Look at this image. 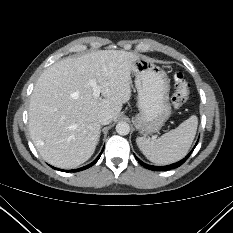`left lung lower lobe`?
Wrapping results in <instances>:
<instances>
[{
    "instance_id": "1",
    "label": "left lung lower lobe",
    "mask_w": 233,
    "mask_h": 233,
    "mask_svg": "<svg viewBox=\"0 0 233 233\" xmlns=\"http://www.w3.org/2000/svg\"><path fill=\"white\" fill-rule=\"evenodd\" d=\"M198 143V142H197ZM196 143V145H197ZM196 145L194 146V148L196 147ZM193 148V149H194ZM193 151V150H192ZM192 151L185 157L183 158L182 160L174 163V164H171V165H167V166H153V165H148V164H145L143 163L139 158H137L135 155V158L137 159V161L142 165L144 166L145 168L147 169H150V170H153V171H158V170H170V169H174V168H177L179 166H181L190 156V154L192 153Z\"/></svg>"
}]
</instances>
